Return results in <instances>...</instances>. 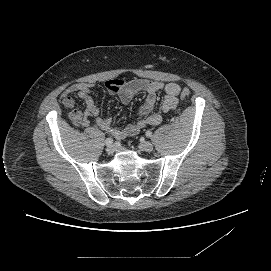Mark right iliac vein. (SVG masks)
<instances>
[{
	"mask_svg": "<svg viewBox=\"0 0 271 271\" xmlns=\"http://www.w3.org/2000/svg\"><path fill=\"white\" fill-rule=\"evenodd\" d=\"M116 148L114 145H110L106 148V151L108 154H113L115 152Z\"/></svg>",
	"mask_w": 271,
	"mask_h": 271,
	"instance_id": "63e3f726",
	"label": "right iliac vein"
}]
</instances>
